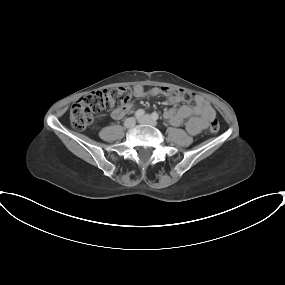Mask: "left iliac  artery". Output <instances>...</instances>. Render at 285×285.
<instances>
[{
    "label": "left iliac artery",
    "instance_id": "left-iliac-artery-1",
    "mask_svg": "<svg viewBox=\"0 0 285 285\" xmlns=\"http://www.w3.org/2000/svg\"><path fill=\"white\" fill-rule=\"evenodd\" d=\"M151 117H152L154 120H157V119L159 118V115H158V113L153 112L152 115H151Z\"/></svg>",
    "mask_w": 285,
    "mask_h": 285
}]
</instances>
